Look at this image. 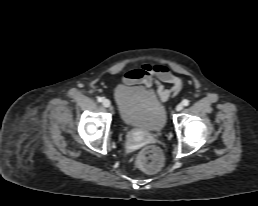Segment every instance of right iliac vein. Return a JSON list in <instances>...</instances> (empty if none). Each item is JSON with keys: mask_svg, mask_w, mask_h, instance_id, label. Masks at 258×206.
<instances>
[{"mask_svg": "<svg viewBox=\"0 0 258 206\" xmlns=\"http://www.w3.org/2000/svg\"><path fill=\"white\" fill-rule=\"evenodd\" d=\"M102 103H103V106L106 108L111 106V102L108 99H103Z\"/></svg>", "mask_w": 258, "mask_h": 206, "instance_id": "63e3f726", "label": "right iliac vein"}]
</instances>
